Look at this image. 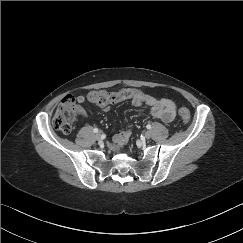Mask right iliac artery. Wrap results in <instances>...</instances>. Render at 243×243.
Wrapping results in <instances>:
<instances>
[{
	"label": "right iliac artery",
	"mask_w": 243,
	"mask_h": 243,
	"mask_svg": "<svg viewBox=\"0 0 243 243\" xmlns=\"http://www.w3.org/2000/svg\"><path fill=\"white\" fill-rule=\"evenodd\" d=\"M98 131H99V130H98L97 128H94V129H93V132H94V133H97Z\"/></svg>",
	"instance_id": "1"
}]
</instances>
